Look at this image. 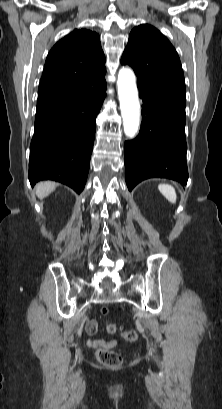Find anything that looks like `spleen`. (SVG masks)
Instances as JSON below:
<instances>
[{"mask_svg": "<svg viewBox=\"0 0 222 409\" xmlns=\"http://www.w3.org/2000/svg\"><path fill=\"white\" fill-rule=\"evenodd\" d=\"M159 191L171 203H176L177 195L175 189L168 184H160Z\"/></svg>", "mask_w": 222, "mask_h": 409, "instance_id": "spleen-1", "label": "spleen"}]
</instances>
